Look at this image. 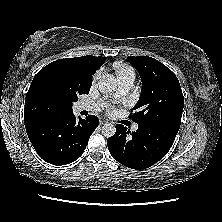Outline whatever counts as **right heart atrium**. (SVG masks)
Here are the masks:
<instances>
[{
  "label": "right heart atrium",
  "instance_id": "obj_1",
  "mask_svg": "<svg viewBox=\"0 0 222 222\" xmlns=\"http://www.w3.org/2000/svg\"><path fill=\"white\" fill-rule=\"evenodd\" d=\"M99 78V74H97L94 78V81H96Z\"/></svg>",
  "mask_w": 222,
  "mask_h": 222
}]
</instances>
